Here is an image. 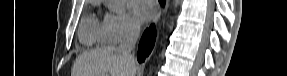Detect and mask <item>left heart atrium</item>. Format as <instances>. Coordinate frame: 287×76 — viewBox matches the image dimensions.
I'll return each mask as SVG.
<instances>
[{
  "label": "left heart atrium",
  "mask_w": 287,
  "mask_h": 76,
  "mask_svg": "<svg viewBox=\"0 0 287 76\" xmlns=\"http://www.w3.org/2000/svg\"><path fill=\"white\" fill-rule=\"evenodd\" d=\"M130 7L140 21H147L156 14V5L152 0H131Z\"/></svg>",
  "instance_id": "39dd6f15"
}]
</instances>
